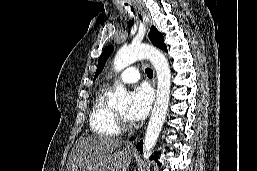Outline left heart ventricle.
I'll return each instance as SVG.
<instances>
[{
    "instance_id": "1",
    "label": "left heart ventricle",
    "mask_w": 257,
    "mask_h": 171,
    "mask_svg": "<svg viewBox=\"0 0 257 171\" xmlns=\"http://www.w3.org/2000/svg\"><path fill=\"white\" fill-rule=\"evenodd\" d=\"M117 111L122 114L123 116H125L126 118H128V107L127 106H124V107H121L119 109H117ZM129 119V118H128Z\"/></svg>"
}]
</instances>
